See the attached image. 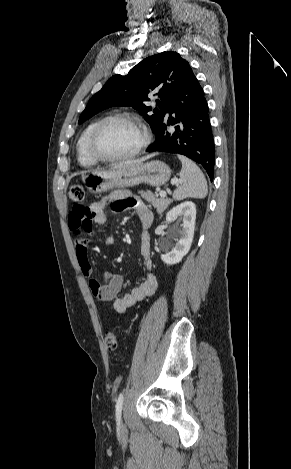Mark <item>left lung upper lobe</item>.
<instances>
[{"label": "left lung upper lobe", "instance_id": "5c2ea615", "mask_svg": "<svg viewBox=\"0 0 291 469\" xmlns=\"http://www.w3.org/2000/svg\"><path fill=\"white\" fill-rule=\"evenodd\" d=\"M191 70L189 63L178 53L162 52L145 58L127 75L111 77L103 88L89 100L79 118V124L96 113L112 106H132L144 115L153 131H157L165 120L169 101L179 91ZM148 94L157 96L158 109L153 115L145 105Z\"/></svg>", "mask_w": 291, "mask_h": 469}]
</instances>
